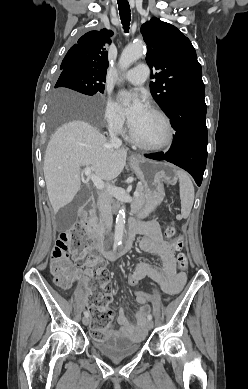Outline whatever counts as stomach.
<instances>
[{
	"instance_id": "1",
	"label": "stomach",
	"mask_w": 248,
	"mask_h": 389,
	"mask_svg": "<svg viewBox=\"0 0 248 389\" xmlns=\"http://www.w3.org/2000/svg\"><path fill=\"white\" fill-rule=\"evenodd\" d=\"M130 165L142 182L145 191L144 205L146 209H141L139 214L134 217L144 220L150 214V210L154 209L163 200L165 195L164 185H172L176 182L178 169H175L174 164L144 158L131 161Z\"/></svg>"
}]
</instances>
